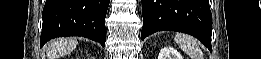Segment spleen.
Listing matches in <instances>:
<instances>
[{"label": "spleen", "mask_w": 261, "mask_h": 59, "mask_svg": "<svg viewBox=\"0 0 261 59\" xmlns=\"http://www.w3.org/2000/svg\"><path fill=\"white\" fill-rule=\"evenodd\" d=\"M174 40L191 59H202L203 53L196 39L188 35L177 34Z\"/></svg>", "instance_id": "obj_1"}]
</instances>
